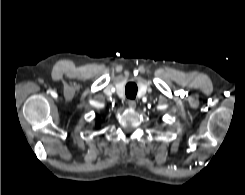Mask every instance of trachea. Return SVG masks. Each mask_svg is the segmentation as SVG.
I'll return each mask as SVG.
<instances>
[{
  "label": "trachea",
  "instance_id": "trachea-1",
  "mask_svg": "<svg viewBox=\"0 0 245 195\" xmlns=\"http://www.w3.org/2000/svg\"><path fill=\"white\" fill-rule=\"evenodd\" d=\"M138 88L134 82H129L125 87L126 97L129 99H134L136 97Z\"/></svg>",
  "mask_w": 245,
  "mask_h": 195
}]
</instances>
